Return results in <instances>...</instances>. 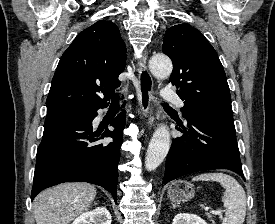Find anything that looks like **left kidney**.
<instances>
[{"label":"left kidney","mask_w":275,"mask_h":224,"mask_svg":"<svg viewBox=\"0 0 275 224\" xmlns=\"http://www.w3.org/2000/svg\"><path fill=\"white\" fill-rule=\"evenodd\" d=\"M172 224H207L202 218L194 214L179 213L177 214Z\"/></svg>","instance_id":"1"}]
</instances>
